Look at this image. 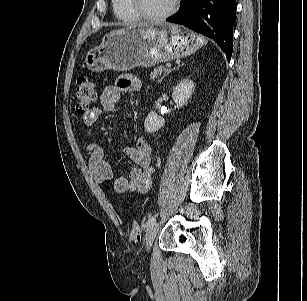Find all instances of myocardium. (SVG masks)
Masks as SVG:
<instances>
[{
    "instance_id": "myocardium-1",
    "label": "myocardium",
    "mask_w": 307,
    "mask_h": 301,
    "mask_svg": "<svg viewBox=\"0 0 307 301\" xmlns=\"http://www.w3.org/2000/svg\"><path fill=\"white\" fill-rule=\"evenodd\" d=\"M131 9L133 12L143 20H148V21H160V20H165L169 17H171L173 14H175L179 8L180 5V0H173L170 8L166 10L165 12L159 13V14H150L145 12L141 6H140V1L139 0H128Z\"/></svg>"
}]
</instances>
